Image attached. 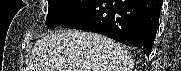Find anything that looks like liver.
<instances>
[{"instance_id": "obj_1", "label": "liver", "mask_w": 181, "mask_h": 71, "mask_svg": "<svg viewBox=\"0 0 181 71\" xmlns=\"http://www.w3.org/2000/svg\"><path fill=\"white\" fill-rule=\"evenodd\" d=\"M132 55L120 44L92 32L59 30L32 48L29 71H132Z\"/></svg>"}]
</instances>
